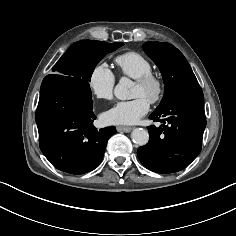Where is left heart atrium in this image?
Masks as SVG:
<instances>
[{
	"instance_id": "left-heart-atrium-1",
	"label": "left heart atrium",
	"mask_w": 236,
	"mask_h": 236,
	"mask_svg": "<svg viewBox=\"0 0 236 236\" xmlns=\"http://www.w3.org/2000/svg\"><path fill=\"white\" fill-rule=\"evenodd\" d=\"M149 107V100L137 96L132 100L118 102L103 114V119L108 124H135L147 114Z\"/></svg>"
}]
</instances>
